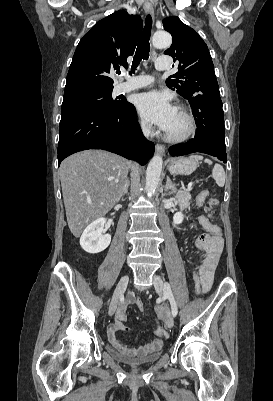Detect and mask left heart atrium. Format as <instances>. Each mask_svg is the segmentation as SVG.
Instances as JSON below:
<instances>
[{
  "label": "left heart atrium",
  "instance_id": "obj_1",
  "mask_svg": "<svg viewBox=\"0 0 273 401\" xmlns=\"http://www.w3.org/2000/svg\"><path fill=\"white\" fill-rule=\"evenodd\" d=\"M136 106L143 120L165 131L176 111L170 99L158 92L140 94Z\"/></svg>",
  "mask_w": 273,
  "mask_h": 401
}]
</instances>
